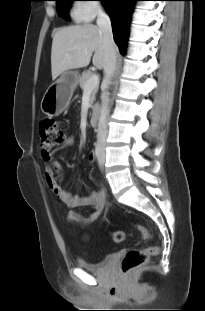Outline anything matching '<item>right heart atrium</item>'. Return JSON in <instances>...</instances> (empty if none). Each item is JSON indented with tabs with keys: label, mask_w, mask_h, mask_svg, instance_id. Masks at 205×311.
<instances>
[{
	"label": "right heart atrium",
	"mask_w": 205,
	"mask_h": 311,
	"mask_svg": "<svg viewBox=\"0 0 205 311\" xmlns=\"http://www.w3.org/2000/svg\"><path fill=\"white\" fill-rule=\"evenodd\" d=\"M102 12L103 8L97 0H79L75 9L76 17L83 21H91Z\"/></svg>",
	"instance_id": "right-heart-atrium-1"
}]
</instances>
